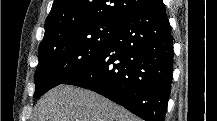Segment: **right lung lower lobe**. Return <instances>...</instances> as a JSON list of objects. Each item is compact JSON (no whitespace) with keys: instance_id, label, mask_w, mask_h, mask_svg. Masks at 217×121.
Segmentation results:
<instances>
[{"instance_id":"1","label":"right lung lower lobe","mask_w":217,"mask_h":121,"mask_svg":"<svg viewBox=\"0 0 217 121\" xmlns=\"http://www.w3.org/2000/svg\"><path fill=\"white\" fill-rule=\"evenodd\" d=\"M173 38L162 0L128 16L89 66L62 84L93 90L146 121H164Z\"/></svg>"}]
</instances>
